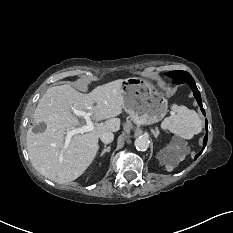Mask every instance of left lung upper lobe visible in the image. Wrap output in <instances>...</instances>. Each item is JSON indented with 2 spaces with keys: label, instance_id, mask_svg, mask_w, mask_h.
I'll return each instance as SVG.
<instances>
[{
  "label": "left lung upper lobe",
  "instance_id": "left-lung-upper-lobe-1",
  "mask_svg": "<svg viewBox=\"0 0 233 233\" xmlns=\"http://www.w3.org/2000/svg\"><path fill=\"white\" fill-rule=\"evenodd\" d=\"M166 75L168 77H171L173 80H178V81L185 79L187 77H191V75L185 71H172V72L166 73Z\"/></svg>",
  "mask_w": 233,
  "mask_h": 233
}]
</instances>
